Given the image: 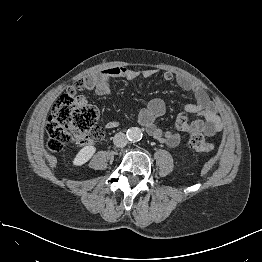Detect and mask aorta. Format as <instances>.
<instances>
[{
    "mask_svg": "<svg viewBox=\"0 0 262 262\" xmlns=\"http://www.w3.org/2000/svg\"><path fill=\"white\" fill-rule=\"evenodd\" d=\"M127 137L130 141L137 142L142 138L141 129L138 127H132L127 130Z\"/></svg>",
    "mask_w": 262,
    "mask_h": 262,
    "instance_id": "762f6f07",
    "label": "aorta"
}]
</instances>
